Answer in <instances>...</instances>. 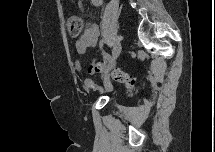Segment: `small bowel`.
Masks as SVG:
<instances>
[{
    "label": "small bowel",
    "mask_w": 215,
    "mask_h": 152,
    "mask_svg": "<svg viewBox=\"0 0 215 152\" xmlns=\"http://www.w3.org/2000/svg\"><path fill=\"white\" fill-rule=\"evenodd\" d=\"M103 0H92V4L95 6H102ZM77 5L80 9L84 8V2L82 0H77ZM100 26L98 24H88L84 34L76 41V50L79 54L84 55L92 47L98 44L100 36ZM75 67L80 74H84V68L80 61H76ZM84 85L87 88L95 90H110L111 84L109 81H105L102 86L97 85V83L92 78H85Z\"/></svg>",
    "instance_id": "c3829d8e"
}]
</instances>
